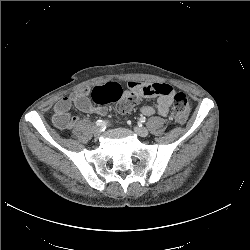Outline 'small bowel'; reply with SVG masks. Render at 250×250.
<instances>
[{
    "label": "small bowel",
    "mask_w": 250,
    "mask_h": 250,
    "mask_svg": "<svg viewBox=\"0 0 250 250\" xmlns=\"http://www.w3.org/2000/svg\"><path fill=\"white\" fill-rule=\"evenodd\" d=\"M130 91L137 92L144 98H157L155 106L144 105L141 113L145 116L159 114L167 116L174 97V90L166 83H141L130 81L128 83ZM90 89L78 91L70 96L61 98L54 106L53 124L59 129H72L78 122L76 116L70 114V109L75 106L85 113L105 115L107 109L100 105H93L90 101Z\"/></svg>",
    "instance_id": "c3829d8e"
}]
</instances>
